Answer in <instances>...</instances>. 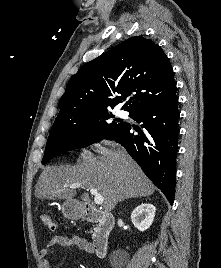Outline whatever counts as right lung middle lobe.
I'll return each mask as SVG.
<instances>
[{"label": "right lung middle lobe", "instance_id": "1", "mask_svg": "<svg viewBox=\"0 0 221 268\" xmlns=\"http://www.w3.org/2000/svg\"><path fill=\"white\" fill-rule=\"evenodd\" d=\"M113 115L107 111L87 114L70 119L55 120L47 140L42 163L69 150L78 149L98 139L106 138L124 122L107 123ZM102 119V120H101Z\"/></svg>", "mask_w": 221, "mask_h": 268}]
</instances>
